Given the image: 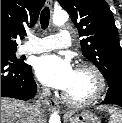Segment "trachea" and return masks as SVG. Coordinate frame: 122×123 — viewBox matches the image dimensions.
<instances>
[{
  "instance_id": "trachea-1",
  "label": "trachea",
  "mask_w": 122,
  "mask_h": 123,
  "mask_svg": "<svg viewBox=\"0 0 122 123\" xmlns=\"http://www.w3.org/2000/svg\"><path fill=\"white\" fill-rule=\"evenodd\" d=\"M49 19H50V10L48 7H45L42 10L41 16H40V23H41L42 29H46L48 27Z\"/></svg>"
}]
</instances>
